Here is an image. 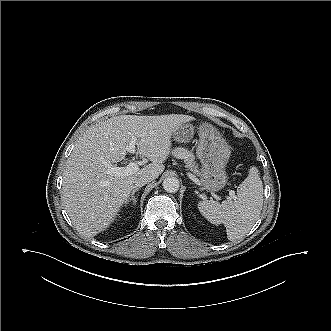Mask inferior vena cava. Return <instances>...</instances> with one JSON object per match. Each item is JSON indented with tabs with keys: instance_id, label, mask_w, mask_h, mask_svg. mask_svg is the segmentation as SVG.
Returning a JSON list of instances; mask_svg holds the SVG:
<instances>
[{
	"instance_id": "inferior-vena-cava-1",
	"label": "inferior vena cava",
	"mask_w": 331,
	"mask_h": 331,
	"mask_svg": "<svg viewBox=\"0 0 331 331\" xmlns=\"http://www.w3.org/2000/svg\"><path fill=\"white\" fill-rule=\"evenodd\" d=\"M152 180H154L152 176L142 175L135 179L134 184L136 187H142L147 183L151 182Z\"/></svg>"
}]
</instances>
